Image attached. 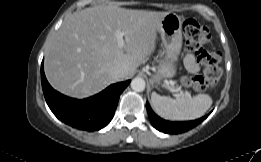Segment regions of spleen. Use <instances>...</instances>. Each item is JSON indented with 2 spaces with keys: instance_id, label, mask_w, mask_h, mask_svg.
Masks as SVG:
<instances>
[{
  "instance_id": "obj_1",
  "label": "spleen",
  "mask_w": 261,
  "mask_h": 162,
  "mask_svg": "<svg viewBox=\"0 0 261 162\" xmlns=\"http://www.w3.org/2000/svg\"><path fill=\"white\" fill-rule=\"evenodd\" d=\"M151 101L155 111L161 117L173 121L199 118L212 105V99L207 94H198L194 97L177 96L176 99H173L153 92Z\"/></svg>"
}]
</instances>
